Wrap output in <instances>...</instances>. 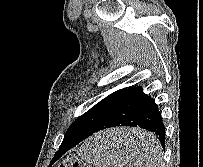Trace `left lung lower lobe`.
<instances>
[{"mask_svg": "<svg viewBox=\"0 0 203 167\" xmlns=\"http://www.w3.org/2000/svg\"><path fill=\"white\" fill-rule=\"evenodd\" d=\"M131 126L140 127L154 133L165 148V125L155 101L142 91V87L128 88L108 116L89 134L73 135L63 139L55 158L58 159L66 151L96 133L111 127ZM140 152L144 147L136 145Z\"/></svg>", "mask_w": 203, "mask_h": 167, "instance_id": "left-lung-lower-lobe-1", "label": "left lung lower lobe"}]
</instances>
